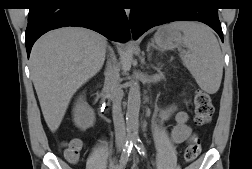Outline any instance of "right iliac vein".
Listing matches in <instances>:
<instances>
[{
	"label": "right iliac vein",
	"instance_id": "right-iliac-vein-1",
	"mask_svg": "<svg viewBox=\"0 0 252 169\" xmlns=\"http://www.w3.org/2000/svg\"><path fill=\"white\" fill-rule=\"evenodd\" d=\"M122 148V145H118V149H121Z\"/></svg>",
	"mask_w": 252,
	"mask_h": 169
}]
</instances>
